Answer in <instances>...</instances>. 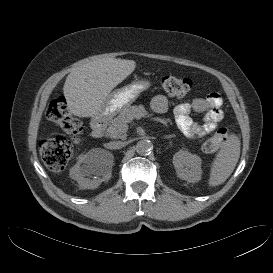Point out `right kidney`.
<instances>
[{"mask_svg": "<svg viewBox=\"0 0 273 273\" xmlns=\"http://www.w3.org/2000/svg\"><path fill=\"white\" fill-rule=\"evenodd\" d=\"M113 159L105 156L104 159H95L93 153L79 157L77 164L71 169L70 175L75 179L79 186L87 189L97 188L101 180H108L111 176ZM102 176L95 180L85 178L90 175Z\"/></svg>", "mask_w": 273, "mask_h": 273, "instance_id": "1", "label": "right kidney"}]
</instances>
